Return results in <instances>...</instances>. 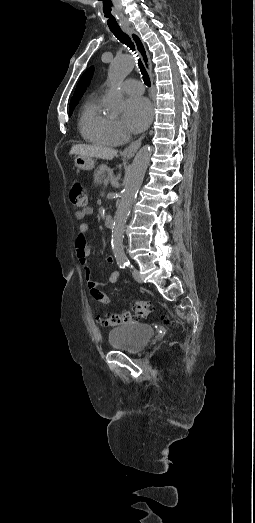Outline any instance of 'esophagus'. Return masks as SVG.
I'll return each instance as SVG.
<instances>
[{
  "label": "esophagus",
  "instance_id": "esophagus-1",
  "mask_svg": "<svg viewBox=\"0 0 255 523\" xmlns=\"http://www.w3.org/2000/svg\"><path fill=\"white\" fill-rule=\"evenodd\" d=\"M124 32H126L129 37L131 38L132 42L135 44V47L141 57V60H142V63L145 67V69L147 70L148 74H149V77H150V82H151V85L153 86V74H152V64H151V59H150V55L148 53V50L144 44V42L141 40V37L138 35L137 32H135L133 29L131 28H123ZM154 106H152V109H151V122L153 121V118H154ZM145 137V134L141 135V137L138 138V140H136L135 142L131 143V145H129V147H126L124 150H123V155L125 156H133L135 155V153L137 152L138 148L140 147L141 145V142L143 140V138Z\"/></svg>",
  "mask_w": 255,
  "mask_h": 523
}]
</instances>
